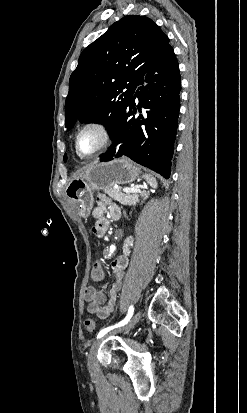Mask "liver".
I'll use <instances>...</instances> for the list:
<instances>
[{"mask_svg": "<svg viewBox=\"0 0 247 413\" xmlns=\"http://www.w3.org/2000/svg\"><path fill=\"white\" fill-rule=\"evenodd\" d=\"M86 168H89V166H83V168H79V170H77L76 174H73V176H78V174H81V172H83V170H86Z\"/></svg>", "mask_w": 247, "mask_h": 413, "instance_id": "6515ba94", "label": "liver"}]
</instances>
